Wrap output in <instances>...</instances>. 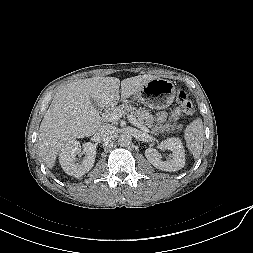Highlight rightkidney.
Returning a JSON list of instances; mask_svg holds the SVG:
<instances>
[{"mask_svg": "<svg viewBox=\"0 0 253 253\" xmlns=\"http://www.w3.org/2000/svg\"><path fill=\"white\" fill-rule=\"evenodd\" d=\"M80 152V143L76 140H72L63 146L59 153L61 167L65 173L74 176L75 178L82 177L92 169L96 158V146L91 142H87L83 145V152L86 156L79 164L76 163V156L80 154Z\"/></svg>", "mask_w": 253, "mask_h": 253, "instance_id": "right-kidney-1", "label": "right kidney"}]
</instances>
